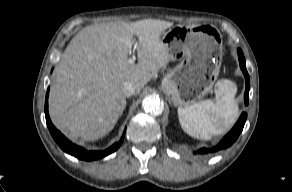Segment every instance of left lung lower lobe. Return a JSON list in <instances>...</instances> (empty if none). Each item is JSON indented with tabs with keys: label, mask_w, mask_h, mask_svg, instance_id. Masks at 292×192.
I'll return each mask as SVG.
<instances>
[{
	"label": "left lung lower lobe",
	"mask_w": 292,
	"mask_h": 192,
	"mask_svg": "<svg viewBox=\"0 0 292 192\" xmlns=\"http://www.w3.org/2000/svg\"><path fill=\"white\" fill-rule=\"evenodd\" d=\"M238 55H239L240 67H241V69L246 77V89H245L244 99H245V105H247L248 104V92H249V88H250L249 75H248V72H247L246 67H245L244 55L240 49H238ZM246 118H247V114L243 112L241 114L238 122L233 127V129L224 137V139L216 147H213L212 149L203 148V149H200L198 151V153L207 154V153L217 152L221 149H225V148L231 146L237 140L238 136L240 135V133L244 127Z\"/></svg>",
	"instance_id": "left-lung-lower-lobe-1"
}]
</instances>
